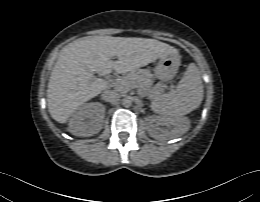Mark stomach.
<instances>
[{"label":"stomach","mask_w":260,"mask_h":202,"mask_svg":"<svg viewBox=\"0 0 260 202\" xmlns=\"http://www.w3.org/2000/svg\"><path fill=\"white\" fill-rule=\"evenodd\" d=\"M179 64V58L175 53L161 56L154 68L155 76L161 81H169L175 76Z\"/></svg>","instance_id":"obj_1"}]
</instances>
